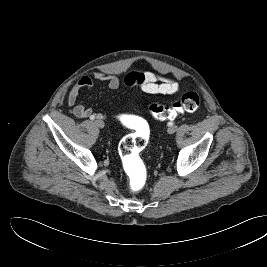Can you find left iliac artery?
I'll return each mask as SVG.
<instances>
[{
  "label": "left iliac artery",
  "mask_w": 267,
  "mask_h": 267,
  "mask_svg": "<svg viewBox=\"0 0 267 267\" xmlns=\"http://www.w3.org/2000/svg\"><path fill=\"white\" fill-rule=\"evenodd\" d=\"M174 125V122H172V121H170V122H168V126L170 127V126H173Z\"/></svg>",
  "instance_id": "obj_1"
}]
</instances>
